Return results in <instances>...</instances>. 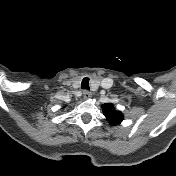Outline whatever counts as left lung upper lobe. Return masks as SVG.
Masks as SVG:
<instances>
[{
  "label": "left lung upper lobe",
  "mask_w": 176,
  "mask_h": 176,
  "mask_svg": "<svg viewBox=\"0 0 176 176\" xmlns=\"http://www.w3.org/2000/svg\"><path fill=\"white\" fill-rule=\"evenodd\" d=\"M102 108L106 118L111 124L117 125L123 120L122 113L119 111H115L114 107L111 104H104Z\"/></svg>",
  "instance_id": "5c2ea615"
}]
</instances>
